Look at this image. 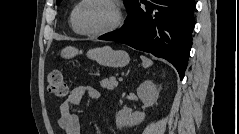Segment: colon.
I'll return each instance as SVG.
<instances>
[{"label": "colon", "mask_w": 239, "mask_h": 134, "mask_svg": "<svg viewBox=\"0 0 239 134\" xmlns=\"http://www.w3.org/2000/svg\"><path fill=\"white\" fill-rule=\"evenodd\" d=\"M47 85L49 92L57 97H64L69 92V86L64 80V76L59 70H53L48 74Z\"/></svg>", "instance_id": "1"}]
</instances>
